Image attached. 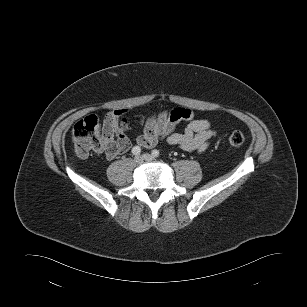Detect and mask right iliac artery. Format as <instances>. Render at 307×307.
Returning <instances> with one entry per match:
<instances>
[{"mask_svg":"<svg viewBox=\"0 0 307 307\" xmlns=\"http://www.w3.org/2000/svg\"><path fill=\"white\" fill-rule=\"evenodd\" d=\"M140 152H141V148H140L139 146H134V147L132 148V153H133L134 155H139Z\"/></svg>","mask_w":307,"mask_h":307,"instance_id":"82829eb1","label":"right iliac artery"}]
</instances>
